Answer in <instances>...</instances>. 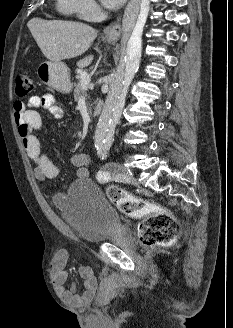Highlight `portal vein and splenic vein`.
<instances>
[{
    "mask_svg": "<svg viewBox=\"0 0 233 328\" xmlns=\"http://www.w3.org/2000/svg\"><path fill=\"white\" fill-rule=\"evenodd\" d=\"M77 72L80 74L82 89H87V87L91 81L90 75L85 72H82L80 70H78Z\"/></svg>",
    "mask_w": 233,
    "mask_h": 328,
    "instance_id": "1",
    "label": "portal vein and splenic vein"
}]
</instances>
